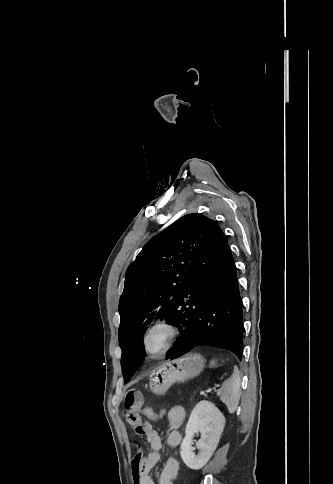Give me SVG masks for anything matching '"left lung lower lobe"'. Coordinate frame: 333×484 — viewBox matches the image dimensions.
<instances>
[{
    "instance_id": "left-lung-lower-lobe-1",
    "label": "left lung lower lobe",
    "mask_w": 333,
    "mask_h": 484,
    "mask_svg": "<svg viewBox=\"0 0 333 484\" xmlns=\"http://www.w3.org/2000/svg\"><path fill=\"white\" fill-rule=\"evenodd\" d=\"M167 321L182 336L167 353L173 360L195 346L243 352V308L236 267L227 238L213 221L167 309Z\"/></svg>"
}]
</instances>
